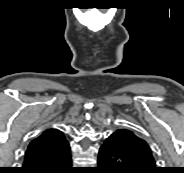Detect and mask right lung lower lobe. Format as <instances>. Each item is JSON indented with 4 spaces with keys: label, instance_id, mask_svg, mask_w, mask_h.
Returning a JSON list of instances; mask_svg holds the SVG:
<instances>
[{
    "label": "right lung lower lobe",
    "instance_id": "obj_1",
    "mask_svg": "<svg viewBox=\"0 0 184 173\" xmlns=\"http://www.w3.org/2000/svg\"><path fill=\"white\" fill-rule=\"evenodd\" d=\"M72 167L70 147L62 152L39 159L25 161L18 173H76Z\"/></svg>",
    "mask_w": 184,
    "mask_h": 173
}]
</instances>
